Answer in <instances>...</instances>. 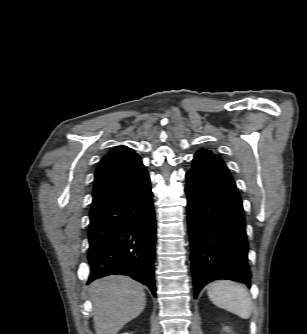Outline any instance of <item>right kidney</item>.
<instances>
[{"label": "right kidney", "mask_w": 307, "mask_h": 334, "mask_svg": "<svg viewBox=\"0 0 307 334\" xmlns=\"http://www.w3.org/2000/svg\"><path fill=\"white\" fill-rule=\"evenodd\" d=\"M122 334H130V333H122Z\"/></svg>", "instance_id": "right-kidney-1"}]
</instances>
